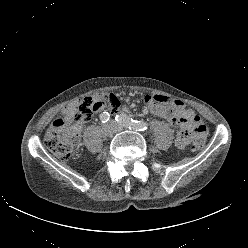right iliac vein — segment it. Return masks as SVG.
Returning <instances> with one entry per match:
<instances>
[{"mask_svg":"<svg viewBox=\"0 0 248 248\" xmlns=\"http://www.w3.org/2000/svg\"><path fill=\"white\" fill-rule=\"evenodd\" d=\"M116 132L115 126L113 124H106L103 126V134L105 136L111 137Z\"/></svg>","mask_w":248,"mask_h":248,"instance_id":"obj_1","label":"right iliac vein"}]
</instances>
